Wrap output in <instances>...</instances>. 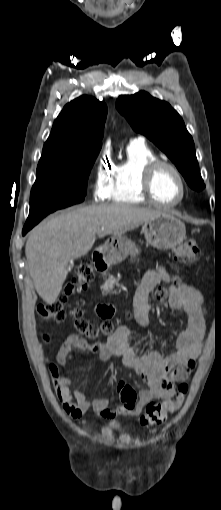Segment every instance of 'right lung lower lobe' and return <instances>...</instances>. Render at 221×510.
Returning a JSON list of instances; mask_svg holds the SVG:
<instances>
[{
  "label": "right lung lower lobe",
  "instance_id": "1",
  "mask_svg": "<svg viewBox=\"0 0 221 510\" xmlns=\"http://www.w3.org/2000/svg\"><path fill=\"white\" fill-rule=\"evenodd\" d=\"M55 210L51 209H40V208H31L29 217L24 225L22 235H25L30 229H32L36 224H38L46 215Z\"/></svg>",
  "mask_w": 221,
  "mask_h": 510
}]
</instances>
